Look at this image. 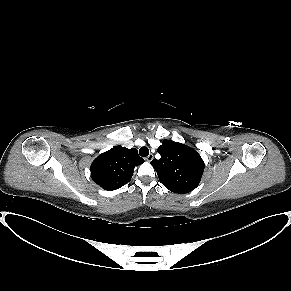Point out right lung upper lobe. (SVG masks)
Segmentation results:
<instances>
[{"label": "right lung upper lobe", "instance_id": "right-lung-upper-lobe-1", "mask_svg": "<svg viewBox=\"0 0 291 291\" xmlns=\"http://www.w3.org/2000/svg\"><path fill=\"white\" fill-rule=\"evenodd\" d=\"M137 149L115 146L100 154L91 164L92 180L103 189L112 191L130 182L135 166L141 165Z\"/></svg>", "mask_w": 291, "mask_h": 291}]
</instances>
